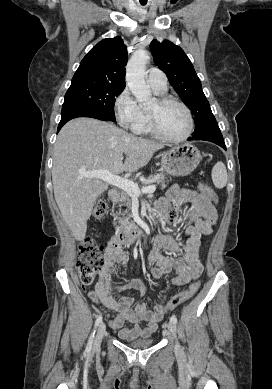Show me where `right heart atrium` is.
Masks as SVG:
<instances>
[{"mask_svg":"<svg viewBox=\"0 0 272 389\" xmlns=\"http://www.w3.org/2000/svg\"><path fill=\"white\" fill-rule=\"evenodd\" d=\"M114 112L119 124L124 128H133L142 117V109L128 88H124L116 97Z\"/></svg>","mask_w":272,"mask_h":389,"instance_id":"1","label":"right heart atrium"}]
</instances>
